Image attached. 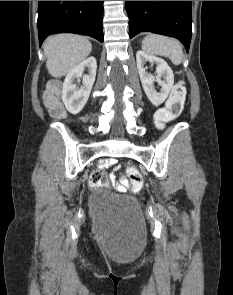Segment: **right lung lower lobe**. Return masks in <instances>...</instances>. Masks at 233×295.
<instances>
[{"label": "right lung lower lobe", "instance_id": "98d812e1", "mask_svg": "<svg viewBox=\"0 0 233 295\" xmlns=\"http://www.w3.org/2000/svg\"><path fill=\"white\" fill-rule=\"evenodd\" d=\"M103 1H39V44L54 33L89 35L103 42Z\"/></svg>", "mask_w": 233, "mask_h": 295}]
</instances>
